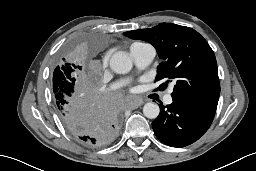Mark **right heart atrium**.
<instances>
[{"instance_id": "obj_1", "label": "right heart atrium", "mask_w": 256, "mask_h": 171, "mask_svg": "<svg viewBox=\"0 0 256 171\" xmlns=\"http://www.w3.org/2000/svg\"><path fill=\"white\" fill-rule=\"evenodd\" d=\"M107 66V58H103V60L98 64L99 69H105Z\"/></svg>"}]
</instances>
